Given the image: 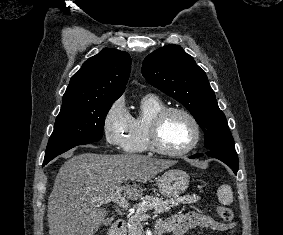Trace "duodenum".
<instances>
[{
	"label": "duodenum",
	"mask_w": 283,
	"mask_h": 235,
	"mask_svg": "<svg viewBox=\"0 0 283 235\" xmlns=\"http://www.w3.org/2000/svg\"><path fill=\"white\" fill-rule=\"evenodd\" d=\"M125 228V221L122 219L114 221L109 230V235H121L123 229ZM158 231V226H156V232Z\"/></svg>",
	"instance_id": "obj_1"
}]
</instances>
